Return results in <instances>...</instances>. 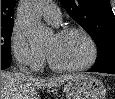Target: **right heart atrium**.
Here are the masks:
<instances>
[{
  "instance_id": "right-heart-atrium-1",
  "label": "right heart atrium",
  "mask_w": 115,
  "mask_h": 99,
  "mask_svg": "<svg viewBox=\"0 0 115 99\" xmlns=\"http://www.w3.org/2000/svg\"><path fill=\"white\" fill-rule=\"evenodd\" d=\"M10 49L15 61L26 68L36 70L44 62L42 53L35 51L26 37L18 29H14L10 39Z\"/></svg>"
}]
</instances>
